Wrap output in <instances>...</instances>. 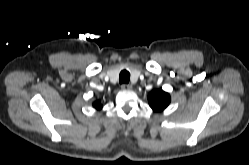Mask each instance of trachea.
Wrapping results in <instances>:
<instances>
[{"label": "trachea", "instance_id": "3493384b", "mask_svg": "<svg viewBox=\"0 0 249 165\" xmlns=\"http://www.w3.org/2000/svg\"><path fill=\"white\" fill-rule=\"evenodd\" d=\"M130 80V73L127 70H122L119 75L120 84H128Z\"/></svg>", "mask_w": 249, "mask_h": 165}]
</instances>
